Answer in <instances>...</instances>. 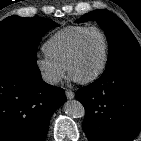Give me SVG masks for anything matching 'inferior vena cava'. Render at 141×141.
<instances>
[{
    "mask_svg": "<svg viewBox=\"0 0 141 141\" xmlns=\"http://www.w3.org/2000/svg\"><path fill=\"white\" fill-rule=\"evenodd\" d=\"M42 78H43L44 82L51 84V85L57 84L60 80L59 77H57L53 74H50V73H44L42 75Z\"/></svg>",
    "mask_w": 141,
    "mask_h": 141,
    "instance_id": "602c4592",
    "label": "inferior vena cava"
}]
</instances>
